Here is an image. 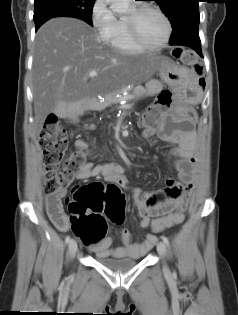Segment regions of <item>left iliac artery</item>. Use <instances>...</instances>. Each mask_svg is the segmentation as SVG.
Here are the masks:
<instances>
[{
  "label": "left iliac artery",
  "instance_id": "44dca946",
  "mask_svg": "<svg viewBox=\"0 0 238 315\" xmlns=\"http://www.w3.org/2000/svg\"><path fill=\"white\" fill-rule=\"evenodd\" d=\"M161 238H162L163 242L168 246L169 245L168 238L166 236H162Z\"/></svg>",
  "mask_w": 238,
  "mask_h": 315
}]
</instances>
